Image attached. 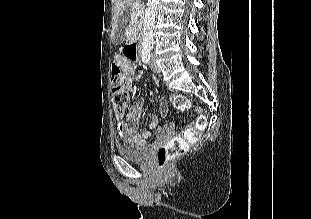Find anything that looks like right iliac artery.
I'll use <instances>...</instances> for the list:
<instances>
[{"mask_svg": "<svg viewBox=\"0 0 311 219\" xmlns=\"http://www.w3.org/2000/svg\"><path fill=\"white\" fill-rule=\"evenodd\" d=\"M149 59H150V50L149 49H144L142 51V61L144 63H148Z\"/></svg>", "mask_w": 311, "mask_h": 219, "instance_id": "right-iliac-artery-1", "label": "right iliac artery"}]
</instances>
